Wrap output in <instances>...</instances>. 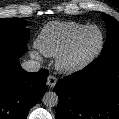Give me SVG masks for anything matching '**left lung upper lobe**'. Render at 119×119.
<instances>
[{"label":"left lung upper lobe","mask_w":119,"mask_h":119,"mask_svg":"<svg viewBox=\"0 0 119 119\" xmlns=\"http://www.w3.org/2000/svg\"><path fill=\"white\" fill-rule=\"evenodd\" d=\"M102 16L107 26V38L100 56L94 60L99 66L119 59V23L105 13Z\"/></svg>","instance_id":"1"}]
</instances>
